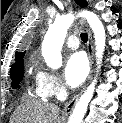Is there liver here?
I'll use <instances>...</instances> for the list:
<instances>
[{"label":"liver","instance_id":"obj_1","mask_svg":"<svg viewBox=\"0 0 122 123\" xmlns=\"http://www.w3.org/2000/svg\"><path fill=\"white\" fill-rule=\"evenodd\" d=\"M59 111L55 104L27 100L15 110L10 123H61Z\"/></svg>","mask_w":122,"mask_h":123}]
</instances>
